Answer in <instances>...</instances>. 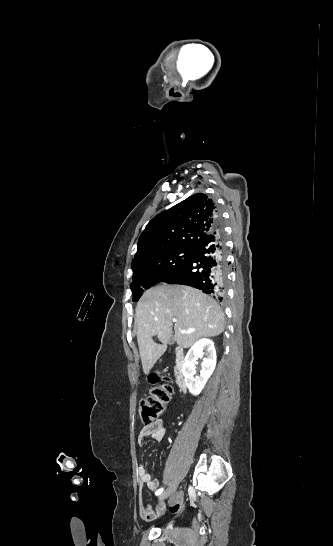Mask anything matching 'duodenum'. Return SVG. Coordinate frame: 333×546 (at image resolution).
Segmentation results:
<instances>
[{"label":"duodenum","mask_w":333,"mask_h":546,"mask_svg":"<svg viewBox=\"0 0 333 546\" xmlns=\"http://www.w3.org/2000/svg\"><path fill=\"white\" fill-rule=\"evenodd\" d=\"M185 362V354L182 348H177L175 350V367H174V376L175 381L180 389V391L186 390L185 376L183 372Z\"/></svg>","instance_id":"obj_1"}]
</instances>
